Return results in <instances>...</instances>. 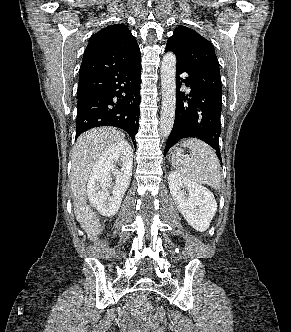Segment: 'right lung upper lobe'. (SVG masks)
<instances>
[{
  "mask_svg": "<svg viewBox=\"0 0 291 332\" xmlns=\"http://www.w3.org/2000/svg\"><path fill=\"white\" fill-rule=\"evenodd\" d=\"M140 59V49L130 30L122 24L105 27L89 39L79 76L130 65Z\"/></svg>",
  "mask_w": 291,
  "mask_h": 332,
  "instance_id": "1",
  "label": "right lung upper lobe"
}]
</instances>
